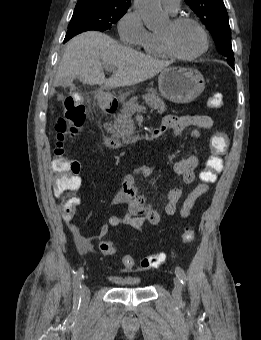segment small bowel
Instances as JSON below:
<instances>
[{"label":"small bowel","instance_id":"1","mask_svg":"<svg viewBox=\"0 0 261 340\" xmlns=\"http://www.w3.org/2000/svg\"><path fill=\"white\" fill-rule=\"evenodd\" d=\"M213 126V120L208 115H185V116H165L161 126L156 130V135H161L166 131H171L174 137L178 136L185 128L192 127V135L197 137L202 130H209ZM199 165V157L193 154L183 159L172 161V170L183 184H191L197 179L196 169ZM152 169L148 166H139L124 176L120 191L114 196V205L126 206V211L122 216L112 215L108 223L104 224L98 233L89 238L85 236L80 227L73 222L72 215H63V219L68 229L72 233L77 247L82 252H90L93 249V240L102 239L106 236L109 227L124 225L135 230H141L145 225H157L160 222L161 214L154 205L150 196L141 194L136 183V176L149 178ZM80 182L81 179L78 176ZM209 188V185L198 184L185 198L180 208V215L184 218L190 215L196 201ZM182 198V191L178 187L171 188L164 196L166 201L164 211L172 216L176 213L178 204ZM79 204V203H78Z\"/></svg>","mask_w":261,"mask_h":340}]
</instances>
